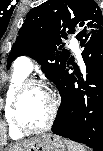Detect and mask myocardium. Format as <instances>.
<instances>
[{
    "label": "myocardium",
    "instance_id": "myocardium-1",
    "mask_svg": "<svg viewBox=\"0 0 103 151\" xmlns=\"http://www.w3.org/2000/svg\"><path fill=\"white\" fill-rule=\"evenodd\" d=\"M34 87L42 89L46 93L49 100V115L46 123L40 128H28L24 126L18 118V104L20 102V99L29 89ZM57 110H58V99L53 90L45 82L41 80L31 79L26 80L15 92L10 106V117L13 125L20 132L24 134H36L44 132L52 126L57 114Z\"/></svg>",
    "mask_w": 103,
    "mask_h": 151
}]
</instances>
